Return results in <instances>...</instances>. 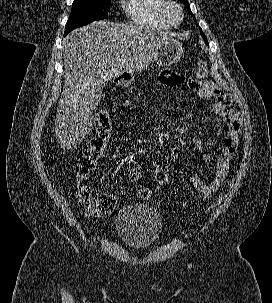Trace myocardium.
Returning a JSON list of instances; mask_svg holds the SVG:
<instances>
[{
	"mask_svg": "<svg viewBox=\"0 0 272 303\" xmlns=\"http://www.w3.org/2000/svg\"><path fill=\"white\" fill-rule=\"evenodd\" d=\"M175 9L178 14V19L176 21L171 20L169 17V10ZM161 15L163 20L169 25V26H177L182 22L183 19V10L180 6V4L174 0H164V4L162 6Z\"/></svg>",
	"mask_w": 272,
	"mask_h": 303,
	"instance_id": "1",
	"label": "myocardium"
}]
</instances>
